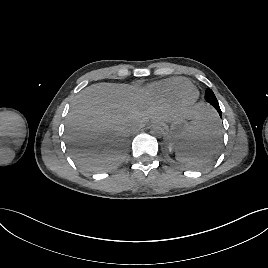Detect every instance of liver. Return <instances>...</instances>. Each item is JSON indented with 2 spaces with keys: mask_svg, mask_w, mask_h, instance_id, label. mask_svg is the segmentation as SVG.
I'll list each match as a JSON object with an SVG mask.
<instances>
[{
  "mask_svg": "<svg viewBox=\"0 0 268 268\" xmlns=\"http://www.w3.org/2000/svg\"><path fill=\"white\" fill-rule=\"evenodd\" d=\"M213 112L198 104L189 113L195 121ZM180 117L169 104L143 95L136 87L97 83L75 95L66 117V141L82 168L102 171L121 159L134 128L152 121L170 123Z\"/></svg>",
  "mask_w": 268,
  "mask_h": 268,
  "instance_id": "obj_1",
  "label": "liver"
}]
</instances>
